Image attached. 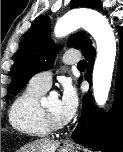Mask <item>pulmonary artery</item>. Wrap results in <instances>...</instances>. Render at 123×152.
I'll return each instance as SVG.
<instances>
[{"mask_svg": "<svg viewBox=\"0 0 123 152\" xmlns=\"http://www.w3.org/2000/svg\"><path fill=\"white\" fill-rule=\"evenodd\" d=\"M63 63L70 65L75 64L80 61V55L77 52H66L63 55ZM52 81V72L51 71H43L34 75L29 85L42 89L44 91L48 90Z\"/></svg>", "mask_w": 123, "mask_h": 152, "instance_id": "1", "label": "pulmonary artery"}]
</instances>
